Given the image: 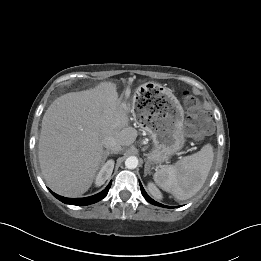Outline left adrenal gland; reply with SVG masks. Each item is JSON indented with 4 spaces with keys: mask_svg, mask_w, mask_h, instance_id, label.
Wrapping results in <instances>:
<instances>
[{
    "mask_svg": "<svg viewBox=\"0 0 261 261\" xmlns=\"http://www.w3.org/2000/svg\"><path fill=\"white\" fill-rule=\"evenodd\" d=\"M144 174H145V176L147 174H151L150 167H149L148 163L145 164Z\"/></svg>",
    "mask_w": 261,
    "mask_h": 261,
    "instance_id": "left-adrenal-gland-1",
    "label": "left adrenal gland"
}]
</instances>
